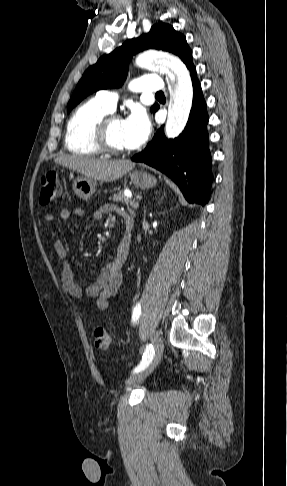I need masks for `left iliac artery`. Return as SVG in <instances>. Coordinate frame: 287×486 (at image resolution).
<instances>
[{
	"label": "left iliac artery",
	"mask_w": 287,
	"mask_h": 486,
	"mask_svg": "<svg viewBox=\"0 0 287 486\" xmlns=\"http://www.w3.org/2000/svg\"><path fill=\"white\" fill-rule=\"evenodd\" d=\"M140 315H141V304L137 303L136 306L133 308L132 322L137 323ZM153 356H154V348L151 344H147L145 351H144V354H143V357H142V360H141L140 364L137 367H135V369L133 370V373H138V372L144 370L151 363Z\"/></svg>",
	"instance_id": "left-iliac-artery-1"
}]
</instances>
